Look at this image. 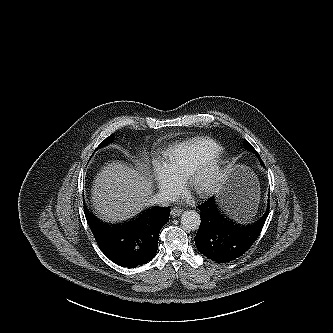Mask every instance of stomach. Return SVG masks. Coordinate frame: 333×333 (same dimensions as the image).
I'll use <instances>...</instances> for the list:
<instances>
[{
	"mask_svg": "<svg viewBox=\"0 0 333 333\" xmlns=\"http://www.w3.org/2000/svg\"><path fill=\"white\" fill-rule=\"evenodd\" d=\"M219 196L228 215L235 221L245 222L255 215L261 190L256 176L248 167L232 164L228 167Z\"/></svg>",
	"mask_w": 333,
	"mask_h": 333,
	"instance_id": "obj_1",
	"label": "stomach"
}]
</instances>
